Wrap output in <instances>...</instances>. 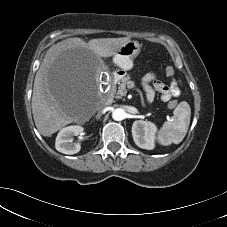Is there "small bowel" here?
<instances>
[{
	"label": "small bowel",
	"mask_w": 227,
	"mask_h": 227,
	"mask_svg": "<svg viewBox=\"0 0 227 227\" xmlns=\"http://www.w3.org/2000/svg\"><path fill=\"white\" fill-rule=\"evenodd\" d=\"M142 84L148 102L154 99L155 91L160 93L161 99L165 102L169 101L171 97L180 95L179 83L175 79L172 80L170 85H165L157 81L153 73H149L143 78Z\"/></svg>",
	"instance_id": "obj_1"
}]
</instances>
